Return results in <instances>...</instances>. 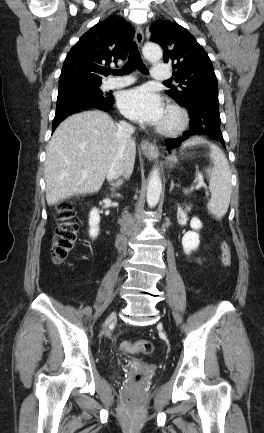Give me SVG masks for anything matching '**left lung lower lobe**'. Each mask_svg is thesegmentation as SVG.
<instances>
[{
	"instance_id": "obj_1",
	"label": "left lung lower lobe",
	"mask_w": 264,
	"mask_h": 433,
	"mask_svg": "<svg viewBox=\"0 0 264 433\" xmlns=\"http://www.w3.org/2000/svg\"><path fill=\"white\" fill-rule=\"evenodd\" d=\"M191 117V129L181 137L166 140L168 150L176 148L180 143L187 140L190 136L206 135L220 141L224 146V139L220 129L219 101L210 99H193L184 104Z\"/></svg>"
}]
</instances>
